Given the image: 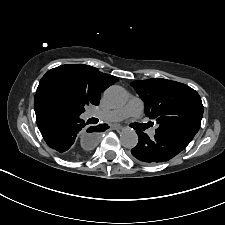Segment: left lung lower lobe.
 I'll use <instances>...</instances> for the list:
<instances>
[{"mask_svg":"<svg viewBox=\"0 0 225 225\" xmlns=\"http://www.w3.org/2000/svg\"><path fill=\"white\" fill-rule=\"evenodd\" d=\"M138 144L131 150L132 157L144 164L155 165L170 160L183 151L195 136L192 131L156 133L153 139L137 132Z\"/></svg>","mask_w":225,"mask_h":225,"instance_id":"obj_1","label":"left lung lower lobe"}]
</instances>
